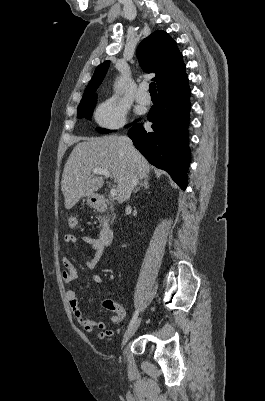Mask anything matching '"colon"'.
<instances>
[{
  "label": "colon",
  "instance_id": "1",
  "mask_svg": "<svg viewBox=\"0 0 265 401\" xmlns=\"http://www.w3.org/2000/svg\"><path fill=\"white\" fill-rule=\"evenodd\" d=\"M67 226H68V228H70V229H75V228H76V226H77V218H76V216L70 215V216L68 217V219H67ZM106 304H107V307H108L109 309H111V310H114L115 307H116V304H114V303H112V302H110V301H108Z\"/></svg>",
  "mask_w": 265,
  "mask_h": 401
}]
</instances>
